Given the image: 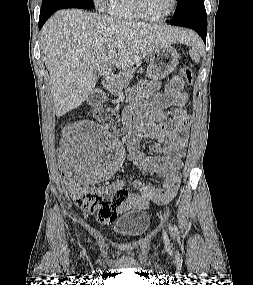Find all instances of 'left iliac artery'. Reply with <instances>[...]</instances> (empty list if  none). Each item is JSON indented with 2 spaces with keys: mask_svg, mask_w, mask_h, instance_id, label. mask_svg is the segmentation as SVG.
I'll use <instances>...</instances> for the list:
<instances>
[{
  "mask_svg": "<svg viewBox=\"0 0 253 285\" xmlns=\"http://www.w3.org/2000/svg\"><path fill=\"white\" fill-rule=\"evenodd\" d=\"M169 229H170L171 235L174 237L175 236V234H174L175 228L171 224H169Z\"/></svg>",
  "mask_w": 253,
  "mask_h": 285,
  "instance_id": "44dca946",
  "label": "left iliac artery"
}]
</instances>
